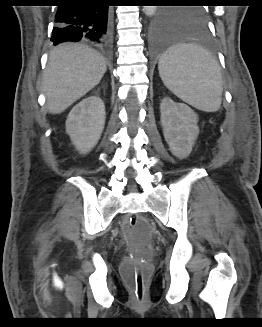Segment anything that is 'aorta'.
Here are the masks:
<instances>
[{"label":"aorta","instance_id":"762f6f07","mask_svg":"<svg viewBox=\"0 0 262 327\" xmlns=\"http://www.w3.org/2000/svg\"><path fill=\"white\" fill-rule=\"evenodd\" d=\"M157 8L155 6H144V12L147 16L155 15Z\"/></svg>","mask_w":262,"mask_h":327}]
</instances>
